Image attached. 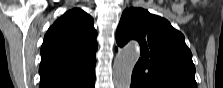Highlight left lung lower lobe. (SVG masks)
Instances as JSON below:
<instances>
[{
	"label": "left lung lower lobe",
	"instance_id": "left-lung-lower-lobe-1",
	"mask_svg": "<svg viewBox=\"0 0 223 88\" xmlns=\"http://www.w3.org/2000/svg\"><path fill=\"white\" fill-rule=\"evenodd\" d=\"M131 88H141L138 83L131 79Z\"/></svg>",
	"mask_w": 223,
	"mask_h": 88
}]
</instances>
